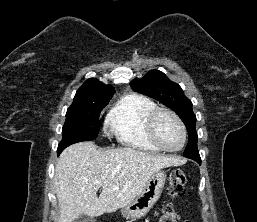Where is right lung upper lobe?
<instances>
[{"mask_svg": "<svg viewBox=\"0 0 257 222\" xmlns=\"http://www.w3.org/2000/svg\"><path fill=\"white\" fill-rule=\"evenodd\" d=\"M115 89L111 85L96 80L89 79L77 90L73 103L94 99H111Z\"/></svg>", "mask_w": 257, "mask_h": 222, "instance_id": "cb5924a9", "label": "right lung upper lobe"}]
</instances>
